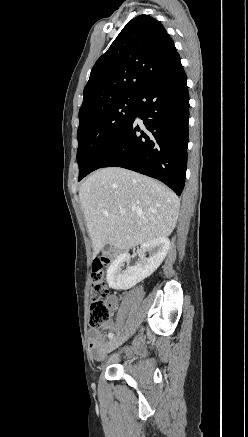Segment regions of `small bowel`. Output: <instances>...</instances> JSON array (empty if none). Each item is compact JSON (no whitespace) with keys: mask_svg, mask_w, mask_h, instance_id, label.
<instances>
[{"mask_svg":"<svg viewBox=\"0 0 248 437\" xmlns=\"http://www.w3.org/2000/svg\"><path fill=\"white\" fill-rule=\"evenodd\" d=\"M111 303L115 304L116 303V298L112 297L111 298ZM107 330H112V326L111 325H107L106 326ZM112 333V332H109ZM89 342H90V348L93 352L94 357H100L103 352H104V348H105V339L104 336L101 334V332L97 329H93L89 332ZM141 339H137L136 340V344H140Z\"/></svg>","mask_w":248,"mask_h":437,"instance_id":"c3829d8e","label":"small bowel"}]
</instances>
